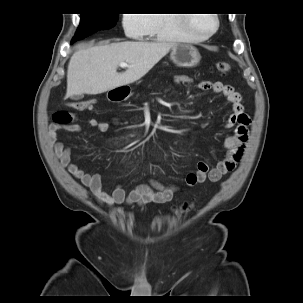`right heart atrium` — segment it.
I'll use <instances>...</instances> for the list:
<instances>
[{
	"instance_id": "right-heart-atrium-1",
	"label": "right heart atrium",
	"mask_w": 303,
	"mask_h": 303,
	"mask_svg": "<svg viewBox=\"0 0 303 303\" xmlns=\"http://www.w3.org/2000/svg\"><path fill=\"white\" fill-rule=\"evenodd\" d=\"M149 19L147 14H125L123 28L129 38H140L147 32Z\"/></svg>"
}]
</instances>
